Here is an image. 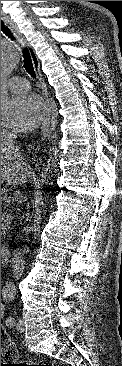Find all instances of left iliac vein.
<instances>
[{
  "instance_id": "left-iliac-vein-1",
  "label": "left iliac vein",
  "mask_w": 122,
  "mask_h": 366,
  "mask_svg": "<svg viewBox=\"0 0 122 366\" xmlns=\"http://www.w3.org/2000/svg\"><path fill=\"white\" fill-rule=\"evenodd\" d=\"M16 329L18 332H24V325H23V321L21 319L17 320Z\"/></svg>"
}]
</instances>
